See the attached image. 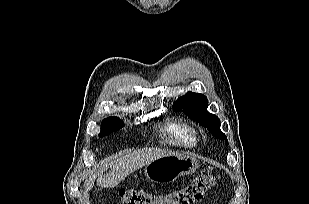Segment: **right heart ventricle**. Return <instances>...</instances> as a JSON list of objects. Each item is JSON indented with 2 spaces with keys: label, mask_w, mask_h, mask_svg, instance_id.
<instances>
[{
  "label": "right heart ventricle",
  "mask_w": 309,
  "mask_h": 204,
  "mask_svg": "<svg viewBox=\"0 0 309 204\" xmlns=\"http://www.w3.org/2000/svg\"><path fill=\"white\" fill-rule=\"evenodd\" d=\"M164 133L171 140L182 143L186 146H193L197 142L194 128L183 121L171 120L164 126Z\"/></svg>",
  "instance_id": "right-heart-ventricle-1"
}]
</instances>
